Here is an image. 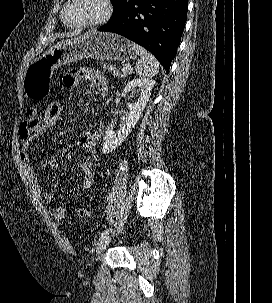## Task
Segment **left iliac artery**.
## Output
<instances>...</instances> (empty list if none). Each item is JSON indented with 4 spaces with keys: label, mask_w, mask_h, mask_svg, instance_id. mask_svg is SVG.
I'll return each mask as SVG.
<instances>
[{
    "label": "left iliac artery",
    "mask_w": 272,
    "mask_h": 303,
    "mask_svg": "<svg viewBox=\"0 0 272 303\" xmlns=\"http://www.w3.org/2000/svg\"><path fill=\"white\" fill-rule=\"evenodd\" d=\"M110 230H112V228H106L105 230H103V231L100 233V237L107 235L108 232H109Z\"/></svg>",
    "instance_id": "44dca946"
}]
</instances>
